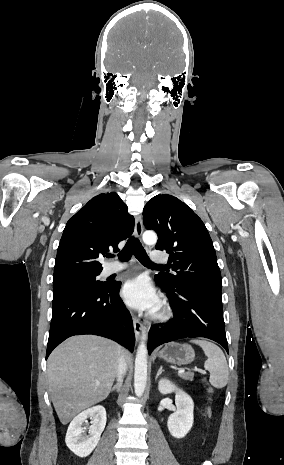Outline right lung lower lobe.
I'll use <instances>...</instances> for the list:
<instances>
[{
  "mask_svg": "<svg viewBox=\"0 0 284 465\" xmlns=\"http://www.w3.org/2000/svg\"><path fill=\"white\" fill-rule=\"evenodd\" d=\"M120 287L114 282L105 289L72 290L53 298L46 359L65 339L82 334L110 338L133 351V322L118 295ZM121 323L126 327L121 328Z\"/></svg>",
  "mask_w": 284,
  "mask_h": 465,
  "instance_id": "1",
  "label": "right lung lower lobe"
}]
</instances>
